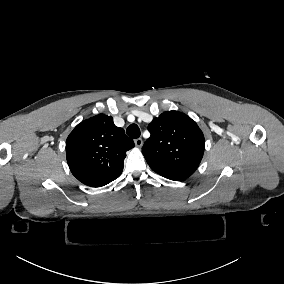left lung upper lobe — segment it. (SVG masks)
I'll return each mask as SVG.
<instances>
[{
  "instance_id": "left-lung-upper-lobe-1",
  "label": "left lung upper lobe",
  "mask_w": 284,
  "mask_h": 284,
  "mask_svg": "<svg viewBox=\"0 0 284 284\" xmlns=\"http://www.w3.org/2000/svg\"><path fill=\"white\" fill-rule=\"evenodd\" d=\"M150 138L142 153L153 171L171 180L190 177L199 166L205 148L202 131L189 116L167 111L148 125Z\"/></svg>"
}]
</instances>
